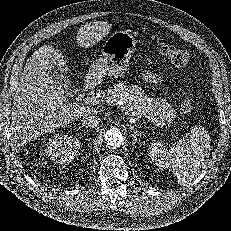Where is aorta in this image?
I'll return each instance as SVG.
<instances>
[{
    "label": "aorta",
    "mask_w": 231,
    "mask_h": 231,
    "mask_svg": "<svg viewBox=\"0 0 231 231\" xmlns=\"http://www.w3.org/2000/svg\"><path fill=\"white\" fill-rule=\"evenodd\" d=\"M104 139L108 146L117 148L123 142V135L118 128H111L106 131Z\"/></svg>",
    "instance_id": "obj_1"
}]
</instances>
